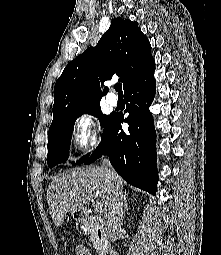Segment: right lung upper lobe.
I'll return each mask as SVG.
<instances>
[{
  "mask_svg": "<svg viewBox=\"0 0 221 255\" xmlns=\"http://www.w3.org/2000/svg\"><path fill=\"white\" fill-rule=\"evenodd\" d=\"M138 23L121 17L114 18L97 46L90 47L71 61L54 87L53 121L49 132L63 116L99 103L100 81L119 76L125 89L153 59L151 45L137 27Z\"/></svg>",
  "mask_w": 221,
  "mask_h": 255,
  "instance_id": "cb5924a9",
  "label": "right lung upper lobe"
}]
</instances>
